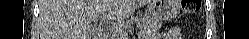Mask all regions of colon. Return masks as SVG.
Here are the masks:
<instances>
[{
  "instance_id": "5ec220e1",
  "label": "colon",
  "mask_w": 249,
  "mask_h": 39,
  "mask_svg": "<svg viewBox=\"0 0 249 39\" xmlns=\"http://www.w3.org/2000/svg\"><path fill=\"white\" fill-rule=\"evenodd\" d=\"M200 9V0H183L182 10L186 14H195Z\"/></svg>"
}]
</instances>
